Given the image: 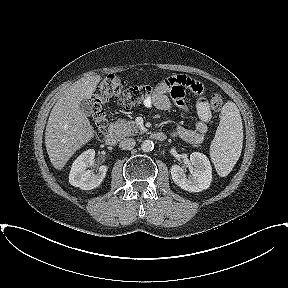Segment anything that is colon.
<instances>
[{"label": "colon", "instance_id": "obj_1", "mask_svg": "<svg viewBox=\"0 0 288 288\" xmlns=\"http://www.w3.org/2000/svg\"><path fill=\"white\" fill-rule=\"evenodd\" d=\"M152 93L153 89L149 85L127 86L125 81L116 75L106 76L92 96L96 136L102 138L106 131L109 120L105 105L110 99H116L124 107H132L150 99ZM222 104V96L219 93L212 94L210 108L217 111Z\"/></svg>", "mask_w": 288, "mask_h": 288}]
</instances>
